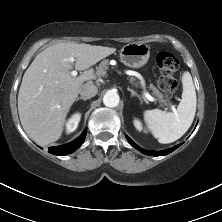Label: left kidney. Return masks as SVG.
<instances>
[{"label": "left kidney", "mask_w": 222, "mask_h": 222, "mask_svg": "<svg viewBox=\"0 0 222 222\" xmlns=\"http://www.w3.org/2000/svg\"><path fill=\"white\" fill-rule=\"evenodd\" d=\"M134 126L136 127V129L138 131H142L143 130V125H142L141 121L138 120V119L134 120Z\"/></svg>", "instance_id": "left-kidney-1"}]
</instances>
